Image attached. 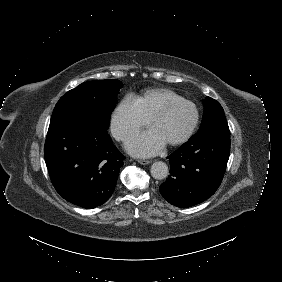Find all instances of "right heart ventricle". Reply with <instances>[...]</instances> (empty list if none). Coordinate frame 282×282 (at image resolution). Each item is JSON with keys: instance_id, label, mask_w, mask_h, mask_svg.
<instances>
[{"instance_id": "1", "label": "right heart ventricle", "mask_w": 282, "mask_h": 282, "mask_svg": "<svg viewBox=\"0 0 282 282\" xmlns=\"http://www.w3.org/2000/svg\"><path fill=\"white\" fill-rule=\"evenodd\" d=\"M166 99L179 100L182 98L166 88L149 89L142 95L136 97L139 107L149 119L158 111L159 106Z\"/></svg>"}]
</instances>
